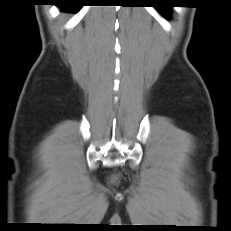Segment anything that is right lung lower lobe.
Returning <instances> with one entry per match:
<instances>
[{"instance_id": "right-lung-lower-lobe-1", "label": "right lung lower lobe", "mask_w": 231, "mask_h": 231, "mask_svg": "<svg viewBox=\"0 0 231 231\" xmlns=\"http://www.w3.org/2000/svg\"><path fill=\"white\" fill-rule=\"evenodd\" d=\"M56 5L61 7V10L66 12H75L82 5V0H56Z\"/></svg>"}]
</instances>
